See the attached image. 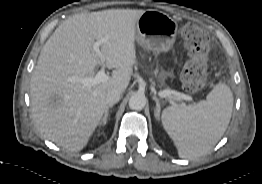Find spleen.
<instances>
[{
	"label": "spleen",
	"mask_w": 262,
	"mask_h": 184,
	"mask_svg": "<svg viewBox=\"0 0 262 184\" xmlns=\"http://www.w3.org/2000/svg\"><path fill=\"white\" fill-rule=\"evenodd\" d=\"M232 109V91L220 82L206 100L185 107L165 108L161 120L179 157L194 159L208 153L220 140L229 125Z\"/></svg>",
	"instance_id": "3e777b00"
}]
</instances>
